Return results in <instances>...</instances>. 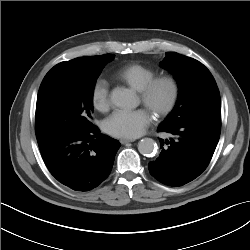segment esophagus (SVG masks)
<instances>
[{"label": "esophagus", "instance_id": "obj_1", "mask_svg": "<svg viewBox=\"0 0 250 250\" xmlns=\"http://www.w3.org/2000/svg\"><path fill=\"white\" fill-rule=\"evenodd\" d=\"M133 141H135V140L134 139H125V138L120 139L121 144H127V143H130V142H133Z\"/></svg>", "mask_w": 250, "mask_h": 250}]
</instances>
